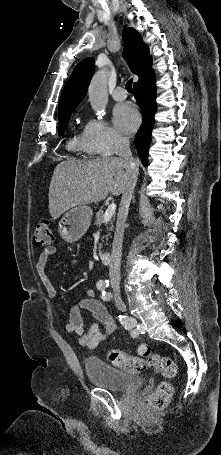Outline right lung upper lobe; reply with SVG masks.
Returning a JSON list of instances; mask_svg holds the SVG:
<instances>
[{"label":"right lung upper lobe","instance_id":"1","mask_svg":"<svg viewBox=\"0 0 221 455\" xmlns=\"http://www.w3.org/2000/svg\"><path fill=\"white\" fill-rule=\"evenodd\" d=\"M122 38L124 41L123 56L128 62L131 71L141 77L147 66L152 62L149 47L142 40L141 35L134 28H127ZM95 70L93 58L81 61L73 70L65 85L59 100L58 111L74 110L87 93L88 85Z\"/></svg>","mask_w":221,"mask_h":455}]
</instances>
